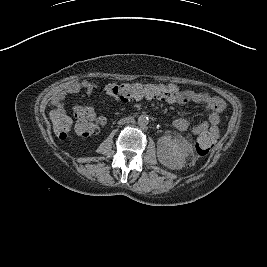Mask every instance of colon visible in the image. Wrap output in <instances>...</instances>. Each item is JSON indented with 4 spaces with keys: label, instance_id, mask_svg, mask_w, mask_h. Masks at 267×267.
Returning a JSON list of instances; mask_svg holds the SVG:
<instances>
[{
    "label": "colon",
    "instance_id": "1",
    "mask_svg": "<svg viewBox=\"0 0 267 267\" xmlns=\"http://www.w3.org/2000/svg\"><path fill=\"white\" fill-rule=\"evenodd\" d=\"M104 91L110 97L120 100L128 101L140 98H157L165 101L173 102L179 96V90L173 85L161 84H143V83H110L105 86ZM76 118V125L79 123L85 126V118L80 110L74 113ZM73 128L72 119L62 110H58L52 116V129L56 137L67 138ZM85 136L89 132L84 133ZM214 138L208 133L199 134L196 144V153L200 157L208 155L213 147Z\"/></svg>",
    "mask_w": 267,
    "mask_h": 267
}]
</instances>
